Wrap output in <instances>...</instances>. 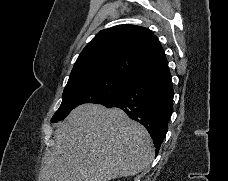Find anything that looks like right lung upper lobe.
Returning a JSON list of instances; mask_svg holds the SVG:
<instances>
[{
	"label": "right lung upper lobe",
	"instance_id": "1",
	"mask_svg": "<svg viewBox=\"0 0 228 181\" xmlns=\"http://www.w3.org/2000/svg\"><path fill=\"white\" fill-rule=\"evenodd\" d=\"M166 60L157 37L147 28L118 25L100 31L80 53L68 82L99 74L133 78Z\"/></svg>",
	"mask_w": 228,
	"mask_h": 181
}]
</instances>
